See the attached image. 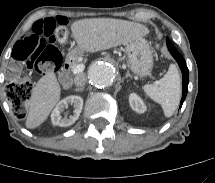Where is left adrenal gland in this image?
<instances>
[{
    "mask_svg": "<svg viewBox=\"0 0 215 183\" xmlns=\"http://www.w3.org/2000/svg\"><path fill=\"white\" fill-rule=\"evenodd\" d=\"M125 77H126V78H128V77L132 78V76H131V74L129 73L128 70H127V73H126Z\"/></svg>",
    "mask_w": 215,
    "mask_h": 183,
    "instance_id": "left-adrenal-gland-1",
    "label": "left adrenal gland"
}]
</instances>
